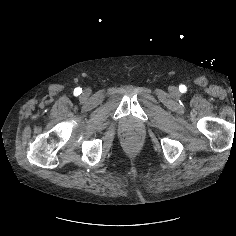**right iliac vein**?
<instances>
[{
	"label": "right iliac vein",
	"mask_w": 236,
	"mask_h": 236,
	"mask_svg": "<svg viewBox=\"0 0 236 236\" xmlns=\"http://www.w3.org/2000/svg\"><path fill=\"white\" fill-rule=\"evenodd\" d=\"M87 96H88V92H83V94H82V98H87Z\"/></svg>",
	"instance_id": "right-iliac-vein-1"
}]
</instances>
